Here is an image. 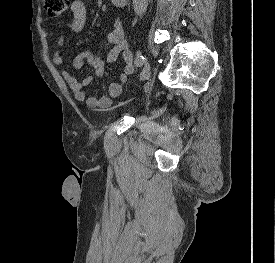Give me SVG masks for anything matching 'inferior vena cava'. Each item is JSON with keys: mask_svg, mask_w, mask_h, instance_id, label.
I'll return each instance as SVG.
<instances>
[{"mask_svg": "<svg viewBox=\"0 0 275 263\" xmlns=\"http://www.w3.org/2000/svg\"><path fill=\"white\" fill-rule=\"evenodd\" d=\"M148 6V0H133V7L135 10V13L138 15H143Z\"/></svg>", "mask_w": 275, "mask_h": 263, "instance_id": "602c4592", "label": "inferior vena cava"}]
</instances>
